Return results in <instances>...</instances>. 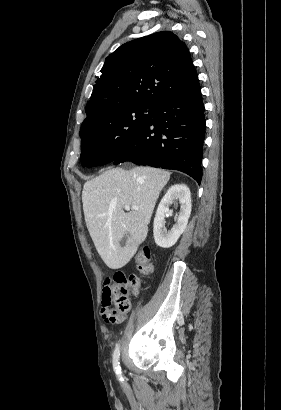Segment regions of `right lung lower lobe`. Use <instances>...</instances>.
<instances>
[{
  "instance_id": "1",
  "label": "right lung lower lobe",
  "mask_w": 281,
  "mask_h": 410,
  "mask_svg": "<svg viewBox=\"0 0 281 410\" xmlns=\"http://www.w3.org/2000/svg\"><path fill=\"white\" fill-rule=\"evenodd\" d=\"M206 120L199 82L153 106L151 120L113 161L182 171L198 183Z\"/></svg>"
}]
</instances>
